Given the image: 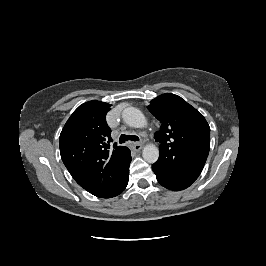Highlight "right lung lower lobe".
Masks as SVG:
<instances>
[{
	"label": "right lung lower lobe",
	"instance_id": "right-lung-lower-lobe-1",
	"mask_svg": "<svg viewBox=\"0 0 266 266\" xmlns=\"http://www.w3.org/2000/svg\"><path fill=\"white\" fill-rule=\"evenodd\" d=\"M130 162H131V158H130V161L128 162L123 174L120 176L119 181L117 182V185L111 191V193L105 198L115 197V196L119 195L126 188V186L128 184V179H129Z\"/></svg>",
	"mask_w": 266,
	"mask_h": 266
}]
</instances>
